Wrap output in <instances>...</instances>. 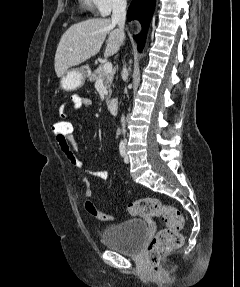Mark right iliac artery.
I'll return each instance as SVG.
<instances>
[{"instance_id":"1","label":"right iliac artery","mask_w":240,"mask_h":287,"mask_svg":"<svg viewBox=\"0 0 240 287\" xmlns=\"http://www.w3.org/2000/svg\"><path fill=\"white\" fill-rule=\"evenodd\" d=\"M119 151H120V155L124 157L126 154V148H125V143L123 141L120 142Z\"/></svg>"}]
</instances>
